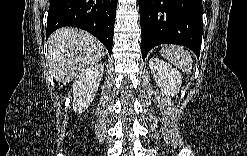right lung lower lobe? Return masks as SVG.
Segmentation results:
<instances>
[{
    "mask_svg": "<svg viewBox=\"0 0 247 156\" xmlns=\"http://www.w3.org/2000/svg\"><path fill=\"white\" fill-rule=\"evenodd\" d=\"M117 0H51L47 37L56 29L74 26L88 31L112 53Z\"/></svg>",
    "mask_w": 247,
    "mask_h": 156,
    "instance_id": "obj_1",
    "label": "right lung lower lobe"
}]
</instances>
